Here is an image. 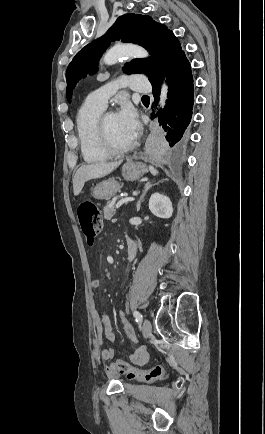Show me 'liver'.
Instances as JSON below:
<instances>
[{"label":"liver","instance_id":"6515ba94","mask_svg":"<svg viewBox=\"0 0 265 434\" xmlns=\"http://www.w3.org/2000/svg\"><path fill=\"white\" fill-rule=\"evenodd\" d=\"M121 162H96V164H86L77 170L73 178V192L74 196H79L85 182L88 180H96V178H104L107 174H111L120 166Z\"/></svg>","mask_w":265,"mask_h":434}]
</instances>
